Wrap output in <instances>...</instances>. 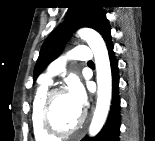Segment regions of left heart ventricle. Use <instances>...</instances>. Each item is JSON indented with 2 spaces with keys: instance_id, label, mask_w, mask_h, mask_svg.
Segmentation results:
<instances>
[{
  "instance_id": "b2bd125f",
  "label": "left heart ventricle",
  "mask_w": 155,
  "mask_h": 141,
  "mask_svg": "<svg viewBox=\"0 0 155 141\" xmlns=\"http://www.w3.org/2000/svg\"><path fill=\"white\" fill-rule=\"evenodd\" d=\"M81 115V112L75 108L68 98L67 93L57 95L53 99L51 119L58 128L68 130L75 127Z\"/></svg>"
}]
</instances>
